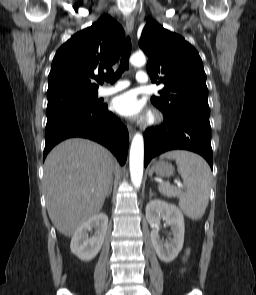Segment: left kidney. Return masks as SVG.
Wrapping results in <instances>:
<instances>
[{
  "label": "left kidney",
  "instance_id": "1",
  "mask_svg": "<svg viewBox=\"0 0 256 295\" xmlns=\"http://www.w3.org/2000/svg\"><path fill=\"white\" fill-rule=\"evenodd\" d=\"M161 218L171 228L173 237L170 242L160 239L158 224ZM146 219L152 226L151 241L158 258L165 263H170L178 256L184 243L185 224L181 210L174 204L154 199L146 205Z\"/></svg>",
  "mask_w": 256,
  "mask_h": 295
}]
</instances>
